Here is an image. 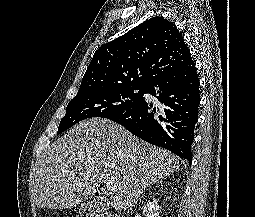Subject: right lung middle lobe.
Returning <instances> with one entry per match:
<instances>
[{
	"label": "right lung middle lobe",
	"mask_w": 255,
	"mask_h": 217,
	"mask_svg": "<svg viewBox=\"0 0 255 217\" xmlns=\"http://www.w3.org/2000/svg\"><path fill=\"white\" fill-rule=\"evenodd\" d=\"M145 90L146 87L119 86L78 92L68 103L57 134L87 118H109L124 113L142 101Z\"/></svg>",
	"instance_id": "obj_1"
}]
</instances>
